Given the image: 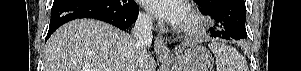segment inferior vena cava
<instances>
[{
  "mask_svg": "<svg viewBox=\"0 0 301 71\" xmlns=\"http://www.w3.org/2000/svg\"><path fill=\"white\" fill-rule=\"evenodd\" d=\"M152 18L147 14H140L131 29V36L133 39L134 54L131 61L129 62L126 71H142L139 66L140 60L137 58L139 55H144L147 53V49L152 43Z\"/></svg>",
  "mask_w": 301,
  "mask_h": 71,
  "instance_id": "1",
  "label": "inferior vena cava"
}]
</instances>
